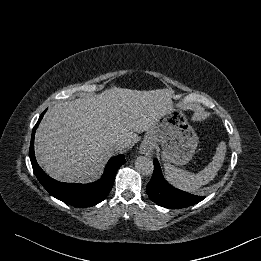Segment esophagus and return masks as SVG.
<instances>
[{"label": "esophagus", "instance_id": "1", "mask_svg": "<svg viewBox=\"0 0 261 261\" xmlns=\"http://www.w3.org/2000/svg\"><path fill=\"white\" fill-rule=\"evenodd\" d=\"M153 142L150 140H144L140 146V152L146 155H152L153 153Z\"/></svg>", "mask_w": 261, "mask_h": 261}]
</instances>
